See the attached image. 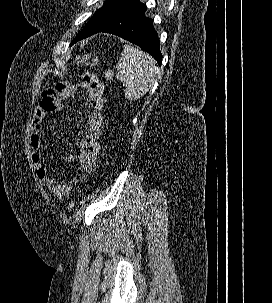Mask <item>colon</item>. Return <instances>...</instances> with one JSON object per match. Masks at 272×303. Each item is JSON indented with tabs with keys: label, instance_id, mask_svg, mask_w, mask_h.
<instances>
[{
	"label": "colon",
	"instance_id": "obj_1",
	"mask_svg": "<svg viewBox=\"0 0 272 303\" xmlns=\"http://www.w3.org/2000/svg\"><path fill=\"white\" fill-rule=\"evenodd\" d=\"M76 63L83 64L86 66H97L98 65V59L95 55L91 54H84L80 55L76 58ZM105 78L108 81H111L114 78V72L111 69H108L105 71ZM67 210L71 211L74 208V202L72 200H69L67 202Z\"/></svg>",
	"mask_w": 272,
	"mask_h": 303
}]
</instances>
